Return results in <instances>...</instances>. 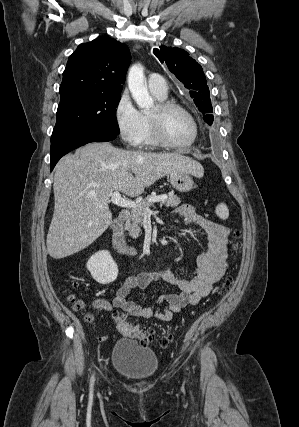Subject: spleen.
<instances>
[{"label": "spleen", "mask_w": 299, "mask_h": 427, "mask_svg": "<svg viewBox=\"0 0 299 427\" xmlns=\"http://www.w3.org/2000/svg\"><path fill=\"white\" fill-rule=\"evenodd\" d=\"M216 215L223 220H226L229 216V210L225 203H220L216 207Z\"/></svg>", "instance_id": "1"}]
</instances>
